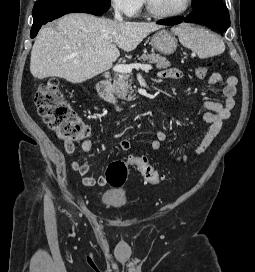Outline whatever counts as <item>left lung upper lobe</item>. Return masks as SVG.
I'll return each mask as SVG.
<instances>
[{
	"label": "left lung upper lobe",
	"instance_id": "left-lung-upper-lobe-1",
	"mask_svg": "<svg viewBox=\"0 0 255 272\" xmlns=\"http://www.w3.org/2000/svg\"><path fill=\"white\" fill-rule=\"evenodd\" d=\"M209 0H194V8ZM222 1V0H220Z\"/></svg>",
	"mask_w": 255,
	"mask_h": 272
}]
</instances>
